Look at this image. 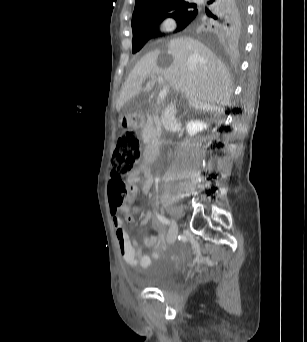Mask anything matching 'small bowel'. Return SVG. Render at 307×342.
I'll list each match as a JSON object with an SVG mask.
<instances>
[{
	"mask_svg": "<svg viewBox=\"0 0 307 342\" xmlns=\"http://www.w3.org/2000/svg\"><path fill=\"white\" fill-rule=\"evenodd\" d=\"M130 183H131V192L135 193L136 185H142V192L148 193L150 189V180L148 177V173L145 168H141L139 170L134 171L130 175ZM112 211L116 212L113 207ZM123 213H129V209L127 207L122 208ZM152 218V213L150 211L144 213L140 225H146ZM126 221H129L125 219ZM113 227L115 230L116 241L118 245V249L120 255L123 260L130 266L136 267L140 266L142 268H147L151 259L158 257L159 255V240L164 237V232L158 223H154L153 227L160 232L159 236H145L144 245L149 246L153 249L152 255L143 254L144 246L141 245L135 238H130L126 229L124 220L118 216H113L112 218Z\"/></svg>",
	"mask_w": 307,
	"mask_h": 342,
	"instance_id": "obj_1",
	"label": "small bowel"
}]
</instances>
